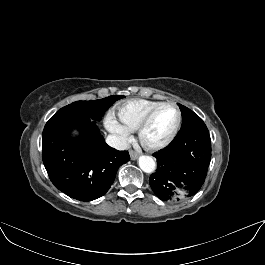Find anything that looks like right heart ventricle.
<instances>
[{"label": "right heart ventricle", "mask_w": 265, "mask_h": 265, "mask_svg": "<svg viewBox=\"0 0 265 265\" xmlns=\"http://www.w3.org/2000/svg\"><path fill=\"white\" fill-rule=\"evenodd\" d=\"M159 101L134 98L115 105L113 112L118 122L128 131H135L145 114Z\"/></svg>", "instance_id": "right-heart-ventricle-1"}]
</instances>
